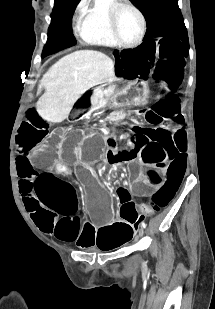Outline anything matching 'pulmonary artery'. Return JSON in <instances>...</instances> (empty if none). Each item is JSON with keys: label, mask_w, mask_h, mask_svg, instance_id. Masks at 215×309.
I'll use <instances>...</instances> for the list:
<instances>
[{"label": "pulmonary artery", "mask_w": 215, "mask_h": 309, "mask_svg": "<svg viewBox=\"0 0 215 309\" xmlns=\"http://www.w3.org/2000/svg\"><path fill=\"white\" fill-rule=\"evenodd\" d=\"M113 3L109 0H98L92 2V7L97 8L94 11L95 16H104L108 8H112Z\"/></svg>", "instance_id": "1"}]
</instances>
